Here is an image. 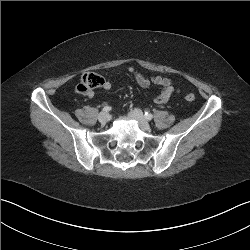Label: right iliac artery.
Returning a JSON list of instances; mask_svg holds the SVG:
<instances>
[{
  "label": "right iliac artery",
  "instance_id": "right-iliac-artery-1",
  "mask_svg": "<svg viewBox=\"0 0 250 250\" xmlns=\"http://www.w3.org/2000/svg\"><path fill=\"white\" fill-rule=\"evenodd\" d=\"M111 110V107H109V106H105L103 109H102V111H104V112H108V111H110Z\"/></svg>",
  "mask_w": 250,
  "mask_h": 250
}]
</instances>
